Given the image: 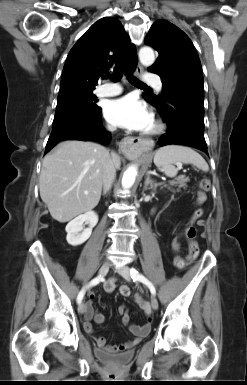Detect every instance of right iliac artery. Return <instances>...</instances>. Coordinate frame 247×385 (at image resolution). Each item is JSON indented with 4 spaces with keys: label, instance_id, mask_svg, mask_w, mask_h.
<instances>
[{
    "label": "right iliac artery",
    "instance_id": "right-iliac-artery-1",
    "mask_svg": "<svg viewBox=\"0 0 247 385\" xmlns=\"http://www.w3.org/2000/svg\"><path fill=\"white\" fill-rule=\"evenodd\" d=\"M100 281H102V277H101V276H98V277L92 279V280L89 282V284H88L86 287H84V288L79 292V294H78V296H77V303H78V304L81 303V301H82V299H83V297H84V294H85V291H86L87 288L97 285Z\"/></svg>",
    "mask_w": 247,
    "mask_h": 385
}]
</instances>
